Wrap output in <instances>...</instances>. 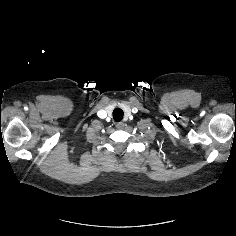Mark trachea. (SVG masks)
<instances>
[{"mask_svg": "<svg viewBox=\"0 0 236 236\" xmlns=\"http://www.w3.org/2000/svg\"><path fill=\"white\" fill-rule=\"evenodd\" d=\"M123 110L120 108H116L113 111V119L117 122H120L123 119Z\"/></svg>", "mask_w": 236, "mask_h": 236, "instance_id": "1", "label": "trachea"}]
</instances>
